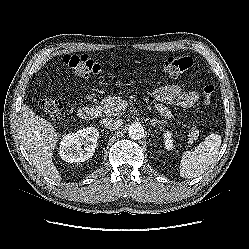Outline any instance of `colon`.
<instances>
[{"mask_svg":"<svg viewBox=\"0 0 249 249\" xmlns=\"http://www.w3.org/2000/svg\"><path fill=\"white\" fill-rule=\"evenodd\" d=\"M63 61L81 77H89L107 72L105 67L86 54L65 55ZM192 65L193 60L188 56H170L164 60L161 69L167 76L175 77L188 70ZM214 91L215 86L213 84H207L203 87L202 94L205 104H209L212 101ZM39 105L45 115L52 120L57 119L63 109V102L60 99L44 98L40 100Z\"/></svg>","mask_w":249,"mask_h":249,"instance_id":"colon-1","label":"colon"}]
</instances>
